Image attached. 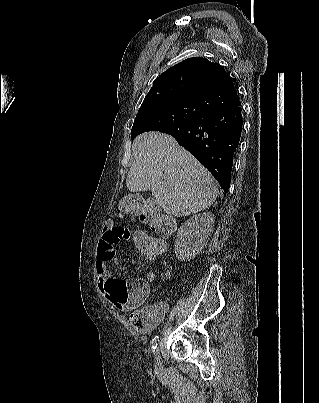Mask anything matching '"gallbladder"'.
<instances>
[{"label": "gallbladder", "mask_w": 319, "mask_h": 403, "mask_svg": "<svg viewBox=\"0 0 319 403\" xmlns=\"http://www.w3.org/2000/svg\"><path fill=\"white\" fill-rule=\"evenodd\" d=\"M143 209L145 211L154 210L156 212H160V207L155 203L154 199H149L144 203Z\"/></svg>", "instance_id": "gallbladder-1"}]
</instances>
